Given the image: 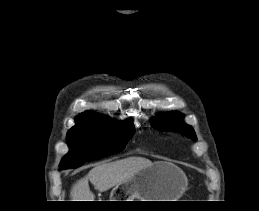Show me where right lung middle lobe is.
Segmentation results:
<instances>
[{"mask_svg": "<svg viewBox=\"0 0 259 211\" xmlns=\"http://www.w3.org/2000/svg\"><path fill=\"white\" fill-rule=\"evenodd\" d=\"M75 122L67 133L70 151L60 169L77 168L86 161L120 152L135 132L131 120L119 124L109 118L76 117Z\"/></svg>", "mask_w": 259, "mask_h": 211, "instance_id": "dd1d6c3e", "label": "right lung middle lobe"}]
</instances>
